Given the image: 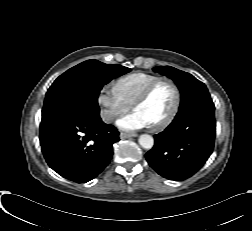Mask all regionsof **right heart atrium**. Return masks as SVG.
Returning a JSON list of instances; mask_svg holds the SVG:
<instances>
[{
    "label": "right heart atrium",
    "mask_w": 252,
    "mask_h": 231,
    "mask_svg": "<svg viewBox=\"0 0 252 231\" xmlns=\"http://www.w3.org/2000/svg\"><path fill=\"white\" fill-rule=\"evenodd\" d=\"M97 102L100 106V116L106 123H111L116 117L123 115L131 107L120 96L116 87L110 84L101 88Z\"/></svg>",
    "instance_id": "obj_1"
}]
</instances>
